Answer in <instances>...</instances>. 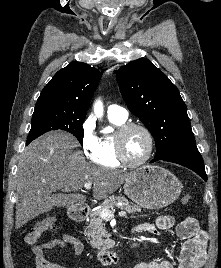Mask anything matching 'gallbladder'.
<instances>
[{
    "label": "gallbladder",
    "mask_w": 221,
    "mask_h": 268,
    "mask_svg": "<svg viewBox=\"0 0 221 268\" xmlns=\"http://www.w3.org/2000/svg\"><path fill=\"white\" fill-rule=\"evenodd\" d=\"M56 196L58 198V203L56 205L57 207L68 206L69 202H71L69 197H67V196H65L63 194H57Z\"/></svg>",
    "instance_id": "gallbladder-1"
}]
</instances>
